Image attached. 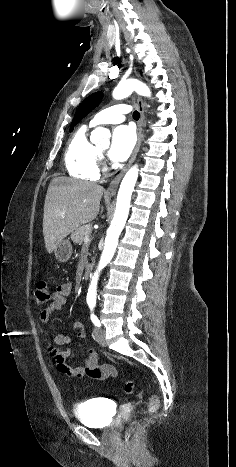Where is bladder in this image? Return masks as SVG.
<instances>
[{
  "instance_id": "1",
  "label": "bladder",
  "mask_w": 236,
  "mask_h": 467,
  "mask_svg": "<svg viewBox=\"0 0 236 467\" xmlns=\"http://www.w3.org/2000/svg\"><path fill=\"white\" fill-rule=\"evenodd\" d=\"M114 406L104 398H92L75 407L77 420L93 427H107L110 425V414Z\"/></svg>"
}]
</instances>
